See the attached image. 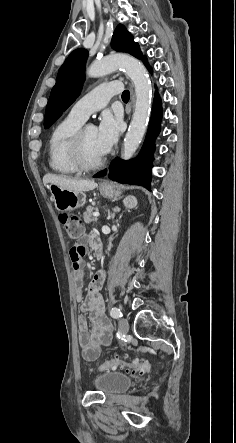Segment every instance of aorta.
I'll return each mask as SVG.
<instances>
[{
	"label": "aorta",
	"instance_id": "762f6f07",
	"mask_svg": "<svg viewBox=\"0 0 236 443\" xmlns=\"http://www.w3.org/2000/svg\"><path fill=\"white\" fill-rule=\"evenodd\" d=\"M123 68L135 86L136 102L132 121L124 139L122 158L130 159L140 144L148 124L152 87L142 63L128 55H112L93 63L87 69L89 77H102L111 71Z\"/></svg>",
	"mask_w": 236,
	"mask_h": 443
}]
</instances>
